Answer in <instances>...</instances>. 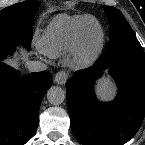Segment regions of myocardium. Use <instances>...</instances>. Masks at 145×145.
Returning <instances> with one entry per match:
<instances>
[{"label": "myocardium", "mask_w": 145, "mask_h": 145, "mask_svg": "<svg viewBox=\"0 0 145 145\" xmlns=\"http://www.w3.org/2000/svg\"><path fill=\"white\" fill-rule=\"evenodd\" d=\"M92 27L95 34L93 36L89 34L90 28L85 30L74 49L72 66L75 68L81 69L91 65L102 51L105 39L104 30L99 22Z\"/></svg>", "instance_id": "obj_1"}]
</instances>
